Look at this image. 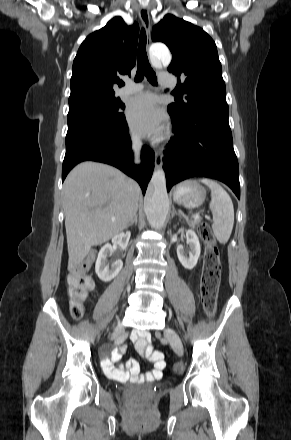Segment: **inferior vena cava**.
<instances>
[{
	"label": "inferior vena cava",
	"mask_w": 291,
	"mask_h": 440,
	"mask_svg": "<svg viewBox=\"0 0 291 440\" xmlns=\"http://www.w3.org/2000/svg\"><path fill=\"white\" fill-rule=\"evenodd\" d=\"M141 150V141L138 138L133 139V151L135 154V163H139V155Z\"/></svg>",
	"instance_id": "602c4592"
}]
</instances>
